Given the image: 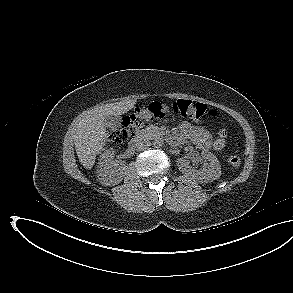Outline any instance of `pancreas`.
I'll list each match as a JSON object with an SVG mask.
<instances>
[{
	"label": "pancreas",
	"instance_id": "cf45deb5",
	"mask_svg": "<svg viewBox=\"0 0 293 293\" xmlns=\"http://www.w3.org/2000/svg\"><path fill=\"white\" fill-rule=\"evenodd\" d=\"M143 134L147 137H158L162 135L160 128L154 125H150L149 127L145 128L143 130Z\"/></svg>",
	"mask_w": 293,
	"mask_h": 293
}]
</instances>
